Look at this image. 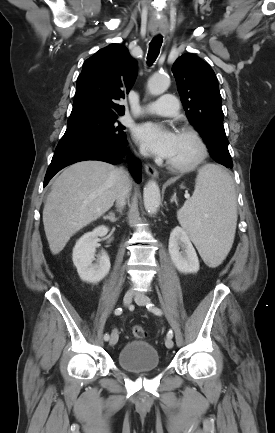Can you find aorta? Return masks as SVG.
Wrapping results in <instances>:
<instances>
[{"instance_id":"1","label":"aorta","mask_w":275,"mask_h":433,"mask_svg":"<svg viewBox=\"0 0 275 433\" xmlns=\"http://www.w3.org/2000/svg\"><path fill=\"white\" fill-rule=\"evenodd\" d=\"M169 85L170 80L167 75L155 74L149 79L147 87L152 95H160L168 89ZM143 201L144 207L149 214L157 213L161 203V196L159 186L154 180L148 181L145 185Z\"/></svg>"}]
</instances>
